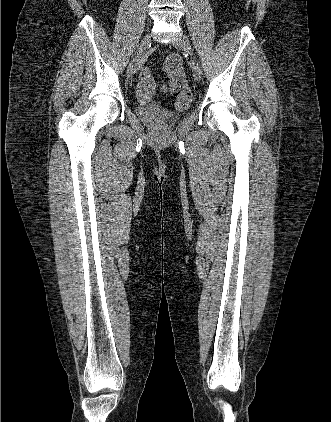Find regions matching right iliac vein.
Segmentation results:
<instances>
[{"label":"right iliac vein","instance_id":"right-iliac-vein-1","mask_svg":"<svg viewBox=\"0 0 331 422\" xmlns=\"http://www.w3.org/2000/svg\"><path fill=\"white\" fill-rule=\"evenodd\" d=\"M149 42H150V35L147 34L141 40L137 54L128 66L127 75L129 77L132 76V74L140 67V58L142 54L144 53L145 49L147 48Z\"/></svg>","mask_w":331,"mask_h":422}]
</instances>
